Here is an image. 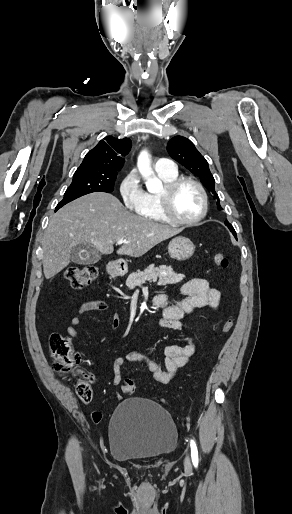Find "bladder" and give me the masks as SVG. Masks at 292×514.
Returning <instances> with one entry per match:
<instances>
[{
    "instance_id": "bladder-1",
    "label": "bladder",
    "mask_w": 292,
    "mask_h": 514,
    "mask_svg": "<svg viewBox=\"0 0 292 514\" xmlns=\"http://www.w3.org/2000/svg\"><path fill=\"white\" fill-rule=\"evenodd\" d=\"M178 431L170 413L144 398H130L115 408L109 424L112 456L120 461L151 460L171 452Z\"/></svg>"
}]
</instances>
